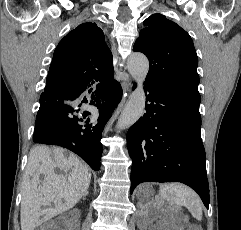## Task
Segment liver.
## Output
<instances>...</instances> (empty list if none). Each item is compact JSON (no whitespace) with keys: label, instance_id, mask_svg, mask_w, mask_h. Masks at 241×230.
I'll return each mask as SVG.
<instances>
[{"label":"liver","instance_id":"liver-1","mask_svg":"<svg viewBox=\"0 0 241 230\" xmlns=\"http://www.w3.org/2000/svg\"><path fill=\"white\" fill-rule=\"evenodd\" d=\"M55 168L63 173L57 174ZM44 175L40 180L39 176ZM22 188L21 230H34L51 217L73 208L85 196L91 181L88 167L61 148L37 146L29 154ZM54 204L48 211L42 205Z\"/></svg>","mask_w":241,"mask_h":230}]
</instances>
